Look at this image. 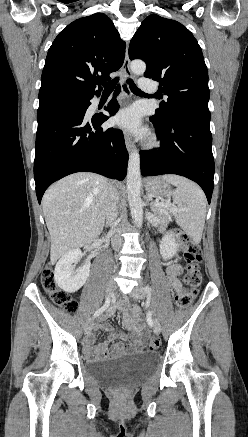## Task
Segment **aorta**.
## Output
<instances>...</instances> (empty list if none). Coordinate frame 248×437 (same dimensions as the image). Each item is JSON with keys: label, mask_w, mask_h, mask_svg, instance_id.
Wrapping results in <instances>:
<instances>
[{"label": "aorta", "mask_w": 248, "mask_h": 437, "mask_svg": "<svg viewBox=\"0 0 248 437\" xmlns=\"http://www.w3.org/2000/svg\"><path fill=\"white\" fill-rule=\"evenodd\" d=\"M131 71L136 75H141L146 70V64L141 60L132 61ZM141 170L140 155L134 150L129 155L127 170V194L130 205L131 216L134 223L141 227L143 224V204L141 200Z\"/></svg>", "instance_id": "1"}]
</instances>
